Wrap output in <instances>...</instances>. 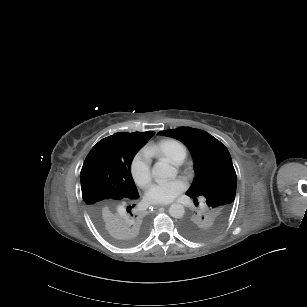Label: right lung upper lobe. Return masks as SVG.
Returning a JSON list of instances; mask_svg holds the SVG:
<instances>
[{
	"label": "right lung upper lobe",
	"mask_w": 307,
	"mask_h": 307,
	"mask_svg": "<svg viewBox=\"0 0 307 307\" xmlns=\"http://www.w3.org/2000/svg\"><path fill=\"white\" fill-rule=\"evenodd\" d=\"M152 135V132L115 133L99 141L89 152L85 161H94L107 170L119 187L114 195L86 204L102 230L122 232L134 238L146 230L149 217L138 199L130 166L134 155Z\"/></svg>",
	"instance_id": "right-lung-upper-lobe-1"
}]
</instances>
